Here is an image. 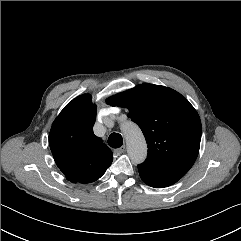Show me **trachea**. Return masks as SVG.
Instances as JSON below:
<instances>
[{
    "instance_id": "obj_1",
    "label": "trachea",
    "mask_w": 241,
    "mask_h": 241,
    "mask_svg": "<svg viewBox=\"0 0 241 241\" xmlns=\"http://www.w3.org/2000/svg\"><path fill=\"white\" fill-rule=\"evenodd\" d=\"M108 144L112 148H119L123 144V138L118 133H112L108 138Z\"/></svg>"
}]
</instances>
